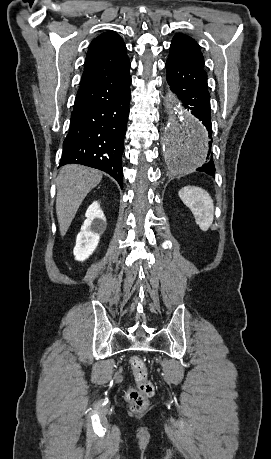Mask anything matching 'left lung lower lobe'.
Masks as SVG:
<instances>
[{
    "mask_svg": "<svg viewBox=\"0 0 271 459\" xmlns=\"http://www.w3.org/2000/svg\"><path fill=\"white\" fill-rule=\"evenodd\" d=\"M167 82L170 89L175 92L179 99L183 101L185 108L202 121L206 127L209 138L212 137V124L210 115V95L207 85V73L204 68L190 66L180 62L167 60ZM211 141L209 148H211ZM211 150L207 154V162L197 171L205 172L209 175L215 173L214 162L210 157Z\"/></svg>",
    "mask_w": 271,
    "mask_h": 459,
    "instance_id": "0a47b994",
    "label": "left lung lower lobe"
}]
</instances>
